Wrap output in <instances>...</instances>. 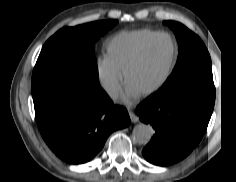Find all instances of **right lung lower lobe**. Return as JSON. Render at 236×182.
<instances>
[{
  "instance_id": "1",
  "label": "right lung lower lobe",
  "mask_w": 236,
  "mask_h": 182,
  "mask_svg": "<svg viewBox=\"0 0 236 182\" xmlns=\"http://www.w3.org/2000/svg\"><path fill=\"white\" fill-rule=\"evenodd\" d=\"M96 100L82 86L64 83L33 94L36 122L49 148L63 161H90L108 136L130 123L127 110L101 89Z\"/></svg>"
}]
</instances>
